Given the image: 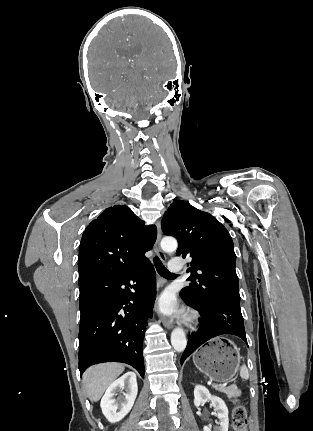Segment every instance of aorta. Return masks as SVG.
I'll return each mask as SVG.
<instances>
[{"label":"aorta","instance_id":"1","mask_svg":"<svg viewBox=\"0 0 313 431\" xmlns=\"http://www.w3.org/2000/svg\"><path fill=\"white\" fill-rule=\"evenodd\" d=\"M177 241L172 237H165L161 240V248L165 252H173L177 249ZM171 344L177 352L185 350L187 339L184 331L181 328H175L171 333Z\"/></svg>","mask_w":313,"mask_h":431}]
</instances>
